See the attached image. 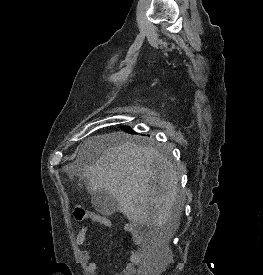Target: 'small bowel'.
Segmentation results:
<instances>
[{
  "label": "small bowel",
  "instance_id": "obj_1",
  "mask_svg": "<svg viewBox=\"0 0 263 275\" xmlns=\"http://www.w3.org/2000/svg\"><path fill=\"white\" fill-rule=\"evenodd\" d=\"M96 221L100 223H106L103 218L96 217ZM89 228L87 226L80 229L76 235L75 242L77 246H82L87 238ZM134 242L138 246V249L133 250L130 253V263L126 266L124 270L125 275H150V262L148 257V247L146 246L142 236L137 231H131ZM85 260V271L88 275L97 274V264L94 262H88L85 255H83Z\"/></svg>",
  "mask_w": 263,
  "mask_h": 275
}]
</instances>
